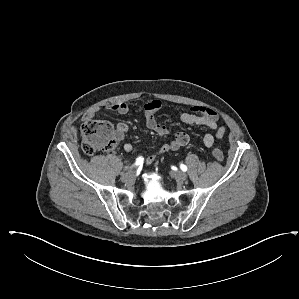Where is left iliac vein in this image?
<instances>
[{
	"mask_svg": "<svg viewBox=\"0 0 299 299\" xmlns=\"http://www.w3.org/2000/svg\"><path fill=\"white\" fill-rule=\"evenodd\" d=\"M174 177L177 181L183 182L187 179V174L182 171H177L174 173Z\"/></svg>",
	"mask_w": 299,
	"mask_h": 299,
	"instance_id": "left-iliac-vein-1",
	"label": "left iliac vein"
}]
</instances>
